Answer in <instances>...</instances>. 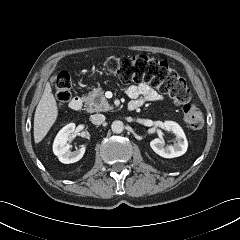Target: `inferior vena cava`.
<instances>
[{"instance_id": "1", "label": "inferior vena cava", "mask_w": 240, "mask_h": 240, "mask_svg": "<svg viewBox=\"0 0 240 240\" xmlns=\"http://www.w3.org/2000/svg\"><path fill=\"white\" fill-rule=\"evenodd\" d=\"M105 121V116L103 114H94L91 116V122L94 125H101Z\"/></svg>"}]
</instances>
